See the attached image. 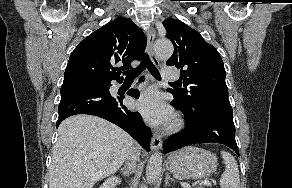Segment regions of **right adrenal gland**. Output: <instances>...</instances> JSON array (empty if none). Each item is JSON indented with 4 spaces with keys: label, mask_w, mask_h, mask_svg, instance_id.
<instances>
[{
    "label": "right adrenal gland",
    "mask_w": 292,
    "mask_h": 188,
    "mask_svg": "<svg viewBox=\"0 0 292 188\" xmlns=\"http://www.w3.org/2000/svg\"><path fill=\"white\" fill-rule=\"evenodd\" d=\"M121 170H122V172H125V169L124 168H122ZM126 175H128V174L126 173Z\"/></svg>",
    "instance_id": "right-adrenal-gland-1"
}]
</instances>
